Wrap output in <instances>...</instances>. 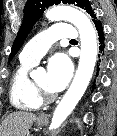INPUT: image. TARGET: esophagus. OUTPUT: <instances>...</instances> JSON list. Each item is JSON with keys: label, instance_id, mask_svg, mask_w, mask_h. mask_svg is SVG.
<instances>
[{"label": "esophagus", "instance_id": "obj_1", "mask_svg": "<svg viewBox=\"0 0 117 136\" xmlns=\"http://www.w3.org/2000/svg\"><path fill=\"white\" fill-rule=\"evenodd\" d=\"M40 118H41V119H46V118H47V115H46V114H42V115L40 116Z\"/></svg>", "mask_w": 117, "mask_h": 136}]
</instances>
